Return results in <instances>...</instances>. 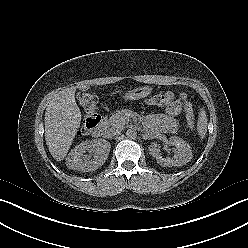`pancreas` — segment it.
Masks as SVG:
<instances>
[{
    "instance_id": "obj_1",
    "label": "pancreas",
    "mask_w": 248,
    "mask_h": 248,
    "mask_svg": "<svg viewBox=\"0 0 248 248\" xmlns=\"http://www.w3.org/2000/svg\"><path fill=\"white\" fill-rule=\"evenodd\" d=\"M128 110H117L112 114V116L106 120L108 127H123L125 124H128L130 118L127 116Z\"/></svg>"
}]
</instances>
